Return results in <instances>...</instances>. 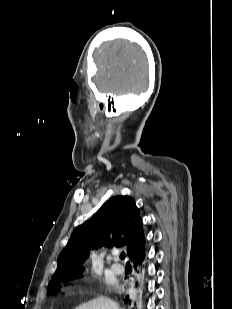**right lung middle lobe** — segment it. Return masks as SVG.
I'll use <instances>...</instances> for the list:
<instances>
[{
	"mask_svg": "<svg viewBox=\"0 0 232 309\" xmlns=\"http://www.w3.org/2000/svg\"><path fill=\"white\" fill-rule=\"evenodd\" d=\"M59 289H60V282L52 283L51 284V290L48 291V293L56 294V293L59 292Z\"/></svg>",
	"mask_w": 232,
	"mask_h": 309,
	"instance_id": "dd1d6c3e",
	"label": "right lung middle lobe"
}]
</instances>
